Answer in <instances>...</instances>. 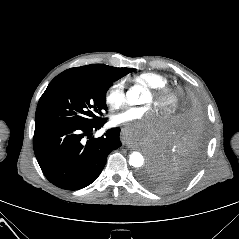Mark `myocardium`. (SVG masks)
Segmentation results:
<instances>
[{"instance_id": "1", "label": "myocardium", "mask_w": 239, "mask_h": 239, "mask_svg": "<svg viewBox=\"0 0 239 239\" xmlns=\"http://www.w3.org/2000/svg\"><path fill=\"white\" fill-rule=\"evenodd\" d=\"M152 96L155 107L165 115H171L178 107V94L169 88H150L149 91Z\"/></svg>"}]
</instances>
